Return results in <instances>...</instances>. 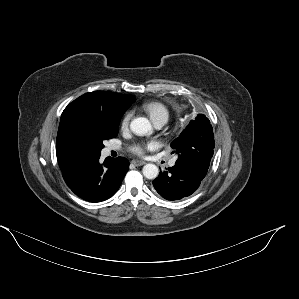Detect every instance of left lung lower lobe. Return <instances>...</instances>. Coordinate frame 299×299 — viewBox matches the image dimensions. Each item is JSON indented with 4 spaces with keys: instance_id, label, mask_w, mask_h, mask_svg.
Here are the masks:
<instances>
[{
    "instance_id": "obj_1",
    "label": "left lung lower lobe",
    "mask_w": 299,
    "mask_h": 299,
    "mask_svg": "<svg viewBox=\"0 0 299 299\" xmlns=\"http://www.w3.org/2000/svg\"><path fill=\"white\" fill-rule=\"evenodd\" d=\"M207 171L208 169L198 163L177 159L173 167L159 173L153 186L166 200H180L197 190Z\"/></svg>"
}]
</instances>
